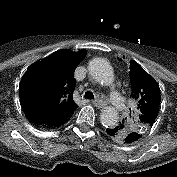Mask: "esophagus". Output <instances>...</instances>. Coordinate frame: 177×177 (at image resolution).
I'll use <instances>...</instances> for the list:
<instances>
[{
	"instance_id": "esophagus-1",
	"label": "esophagus",
	"mask_w": 177,
	"mask_h": 177,
	"mask_svg": "<svg viewBox=\"0 0 177 177\" xmlns=\"http://www.w3.org/2000/svg\"><path fill=\"white\" fill-rule=\"evenodd\" d=\"M92 103L94 104V106H96L98 108H102V107L106 106V102L102 99L92 100Z\"/></svg>"
}]
</instances>
